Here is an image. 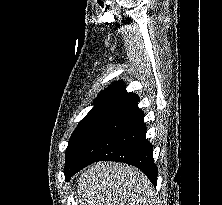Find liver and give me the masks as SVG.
<instances>
[{
	"label": "liver",
	"instance_id": "liver-1",
	"mask_svg": "<svg viewBox=\"0 0 222 205\" xmlns=\"http://www.w3.org/2000/svg\"><path fill=\"white\" fill-rule=\"evenodd\" d=\"M79 205H154V187L140 170L122 163L98 162L79 177Z\"/></svg>",
	"mask_w": 222,
	"mask_h": 205
}]
</instances>
